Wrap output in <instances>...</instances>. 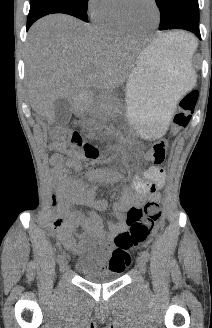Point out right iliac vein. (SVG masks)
<instances>
[{"label": "right iliac vein", "instance_id": "63e3f726", "mask_svg": "<svg viewBox=\"0 0 212 328\" xmlns=\"http://www.w3.org/2000/svg\"><path fill=\"white\" fill-rule=\"evenodd\" d=\"M68 268V264H67V261L63 260L61 263H60V271L63 273L67 270Z\"/></svg>", "mask_w": 212, "mask_h": 328}]
</instances>
